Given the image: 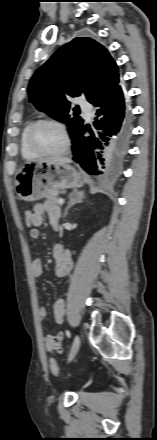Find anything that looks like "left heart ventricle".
<instances>
[{"label":"left heart ventricle","mask_w":157,"mask_h":440,"mask_svg":"<svg viewBox=\"0 0 157 440\" xmlns=\"http://www.w3.org/2000/svg\"><path fill=\"white\" fill-rule=\"evenodd\" d=\"M35 143L42 151L58 152L64 146V137L56 126L42 125L36 131Z\"/></svg>","instance_id":"1"}]
</instances>
